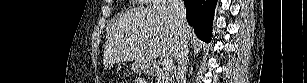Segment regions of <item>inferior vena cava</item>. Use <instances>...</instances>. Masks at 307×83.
Returning <instances> with one entry per match:
<instances>
[{
  "instance_id": "obj_1",
  "label": "inferior vena cava",
  "mask_w": 307,
  "mask_h": 83,
  "mask_svg": "<svg viewBox=\"0 0 307 83\" xmlns=\"http://www.w3.org/2000/svg\"><path fill=\"white\" fill-rule=\"evenodd\" d=\"M170 6L174 11L178 23L179 32V46L176 54V61L178 63L176 80L177 83H185L186 66L188 61V23L186 21V9L183 0H170Z\"/></svg>"
}]
</instances>
